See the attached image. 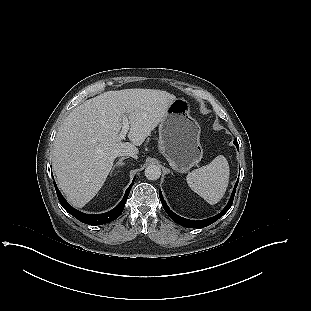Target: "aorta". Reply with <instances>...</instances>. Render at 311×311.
<instances>
[{
	"label": "aorta",
	"mask_w": 311,
	"mask_h": 311,
	"mask_svg": "<svg viewBox=\"0 0 311 311\" xmlns=\"http://www.w3.org/2000/svg\"><path fill=\"white\" fill-rule=\"evenodd\" d=\"M144 172L148 180H157L161 176V168L154 164L148 165Z\"/></svg>",
	"instance_id": "obj_1"
}]
</instances>
